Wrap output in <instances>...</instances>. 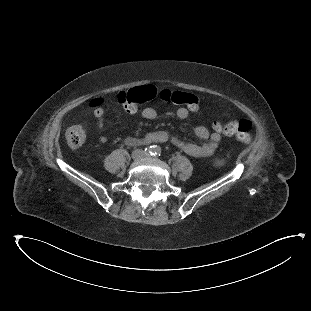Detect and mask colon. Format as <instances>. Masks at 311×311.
Here are the masks:
<instances>
[{
    "label": "colon",
    "mask_w": 311,
    "mask_h": 311,
    "mask_svg": "<svg viewBox=\"0 0 311 311\" xmlns=\"http://www.w3.org/2000/svg\"><path fill=\"white\" fill-rule=\"evenodd\" d=\"M157 95V89L155 86H144L140 91H128L119 95V103L127 112H134L137 109L139 100H149ZM160 99L164 102L184 105L189 111L195 114L200 113V105L195 96L190 95L187 92L180 90H172L164 88L159 93ZM93 103L95 106L100 107L103 105L104 100L102 97L97 96L94 98ZM238 121V120H237ZM250 122L243 118L239 131V140L242 146H249L252 142V138L249 135ZM214 130L222 134L232 135V121L230 122H218L214 123ZM89 133L88 126L86 124L74 125L66 130L65 138L69 147L73 150L81 147Z\"/></svg>",
    "instance_id": "1"
}]
</instances>
